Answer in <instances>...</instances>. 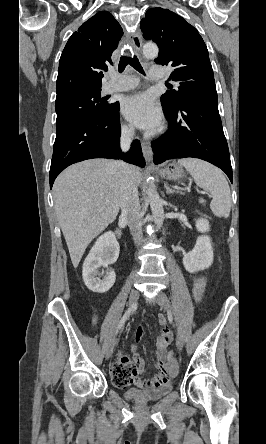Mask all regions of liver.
<instances>
[{
	"label": "liver",
	"mask_w": 266,
	"mask_h": 444,
	"mask_svg": "<svg viewBox=\"0 0 266 444\" xmlns=\"http://www.w3.org/2000/svg\"><path fill=\"white\" fill-rule=\"evenodd\" d=\"M130 167L139 185L141 171ZM121 187L120 168L114 160H86L68 167L56 178L55 211L75 268L89 243L116 219Z\"/></svg>",
	"instance_id": "obj_1"
}]
</instances>
